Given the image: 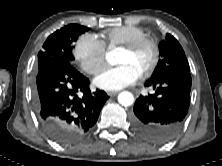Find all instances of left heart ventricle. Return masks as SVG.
Returning <instances> with one entry per match:
<instances>
[{
    "mask_svg": "<svg viewBox=\"0 0 222 166\" xmlns=\"http://www.w3.org/2000/svg\"><path fill=\"white\" fill-rule=\"evenodd\" d=\"M151 58L152 51L149 47H143L135 53H129L122 50L118 63H129L141 73L149 65Z\"/></svg>",
    "mask_w": 222,
    "mask_h": 166,
    "instance_id": "1",
    "label": "left heart ventricle"
}]
</instances>
